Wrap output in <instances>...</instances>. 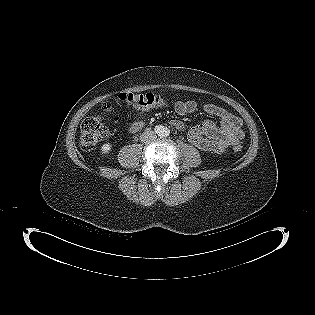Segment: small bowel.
Masks as SVG:
<instances>
[{"instance_id":"1","label":"small bowel","mask_w":315,"mask_h":315,"mask_svg":"<svg viewBox=\"0 0 315 315\" xmlns=\"http://www.w3.org/2000/svg\"><path fill=\"white\" fill-rule=\"evenodd\" d=\"M197 103L193 100L177 101L174 105V110L178 115H187L195 112ZM203 110L208 115L214 116L219 120L216 124L213 121L207 120L198 125L191 127L187 132V138L190 143L203 151L208 152H223L227 148L235 145H241L245 134L242 129L241 120L215 104H205ZM142 120H135L133 125L141 126ZM170 124L178 129L185 128L181 120L173 119Z\"/></svg>"}]
</instances>
